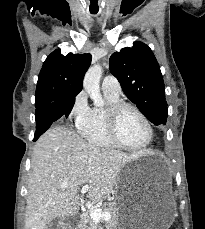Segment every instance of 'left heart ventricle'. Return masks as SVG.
Segmentation results:
<instances>
[{"label":"left heart ventricle","mask_w":205,"mask_h":229,"mask_svg":"<svg viewBox=\"0 0 205 229\" xmlns=\"http://www.w3.org/2000/svg\"><path fill=\"white\" fill-rule=\"evenodd\" d=\"M118 132L121 140L131 146L143 144L148 137V130L143 120L132 110L122 113Z\"/></svg>","instance_id":"left-heart-ventricle-1"}]
</instances>
